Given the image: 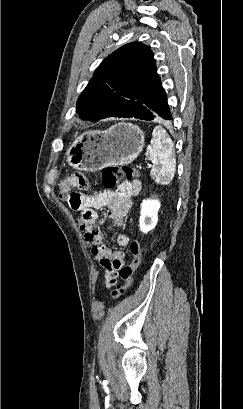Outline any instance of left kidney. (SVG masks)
Instances as JSON below:
<instances>
[{"label": "left kidney", "mask_w": 243, "mask_h": 409, "mask_svg": "<svg viewBox=\"0 0 243 409\" xmlns=\"http://www.w3.org/2000/svg\"><path fill=\"white\" fill-rule=\"evenodd\" d=\"M160 202L154 199L143 200L139 219L140 230L147 233L154 229L158 222Z\"/></svg>", "instance_id": "5707ae66"}]
</instances>
